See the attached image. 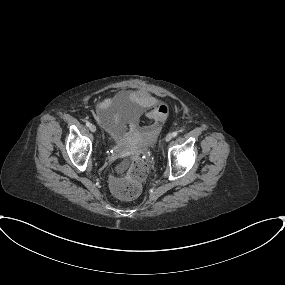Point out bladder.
Masks as SVG:
<instances>
[{
	"instance_id": "obj_1",
	"label": "bladder",
	"mask_w": 285,
	"mask_h": 285,
	"mask_svg": "<svg viewBox=\"0 0 285 285\" xmlns=\"http://www.w3.org/2000/svg\"><path fill=\"white\" fill-rule=\"evenodd\" d=\"M136 98L135 93L133 92H122L115 99L113 104L118 103L119 101H130ZM156 138V134L153 128H149L147 130H141L137 128L132 135L133 145L147 146L154 142Z\"/></svg>"
}]
</instances>
